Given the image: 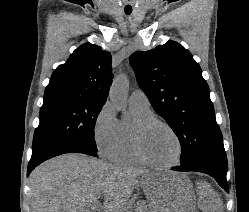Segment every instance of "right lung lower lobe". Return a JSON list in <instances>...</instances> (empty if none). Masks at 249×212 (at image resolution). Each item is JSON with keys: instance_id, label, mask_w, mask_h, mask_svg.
I'll return each mask as SVG.
<instances>
[{"instance_id": "1", "label": "right lung lower lobe", "mask_w": 249, "mask_h": 212, "mask_svg": "<svg viewBox=\"0 0 249 212\" xmlns=\"http://www.w3.org/2000/svg\"><path fill=\"white\" fill-rule=\"evenodd\" d=\"M83 153L88 154V151L80 143L71 140H58L41 144L33 149L32 157L28 164L27 176L40 163L47 159L61 155L64 153ZM96 156V154H94Z\"/></svg>"}]
</instances>
